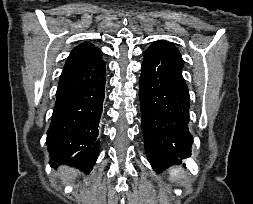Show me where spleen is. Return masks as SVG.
I'll use <instances>...</instances> for the list:
<instances>
[{
	"label": "spleen",
	"instance_id": "obj_1",
	"mask_svg": "<svg viewBox=\"0 0 253 204\" xmlns=\"http://www.w3.org/2000/svg\"><path fill=\"white\" fill-rule=\"evenodd\" d=\"M169 173H170V178L172 180H175V179H178L180 177H183L184 170L182 169V167L174 166V167L169 169Z\"/></svg>",
	"mask_w": 253,
	"mask_h": 204
}]
</instances>
